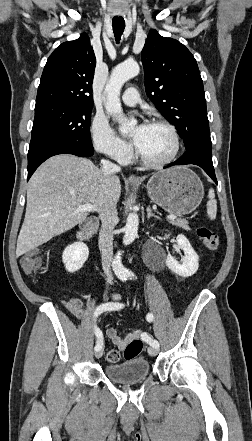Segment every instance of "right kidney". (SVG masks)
<instances>
[{"mask_svg":"<svg viewBox=\"0 0 252 441\" xmlns=\"http://www.w3.org/2000/svg\"><path fill=\"white\" fill-rule=\"evenodd\" d=\"M89 255V250L83 242H75L65 248L62 261L66 271L74 273L84 265Z\"/></svg>","mask_w":252,"mask_h":441,"instance_id":"1","label":"right kidney"}]
</instances>
